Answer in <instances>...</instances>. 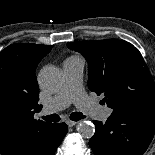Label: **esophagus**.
Returning <instances> with one entry per match:
<instances>
[{"mask_svg":"<svg viewBox=\"0 0 155 155\" xmlns=\"http://www.w3.org/2000/svg\"><path fill=\"white\" fill-rule=\"evenodd\" d=\"M66 124L69 126V127H73L77 124L76 121H72V120H66Z\"/></svg>","mask_w":155,"mask_h":155,"instance_id":"obj_1","label":"esophagus"}]
</instances>
